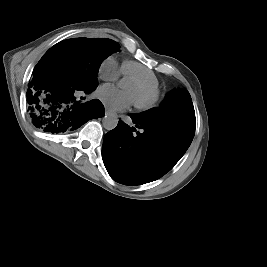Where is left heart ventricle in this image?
<instances>
[{
    "label": "left heart ventricle",
    "instance_id": "1",
    "mask_svg": "<svg viewBox=\"0 0 267 267\" xmlns=\"http://www.w3.org/2000/svg\"><path fill=\"white\" fill-rule=\"evenodd\" d=\"M126 89L133 99H144L147 95V90L145 88L139 87L133 82H128Z\"/></svg>",
    "mask_w": 267,
    "mask_h": 267
}]
</instances>
